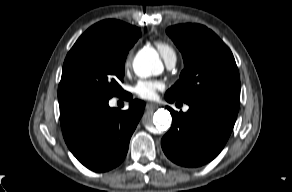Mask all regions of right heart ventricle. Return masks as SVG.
<instances>
[{"label":"right heart ventricle","instance_id":"e07e8e85","mask_svg":"<svg viewBox=\"0 0 292 192\" xmlns=\"http://www.w3.org/2000/svg\"><path fill=\"white\" fill-rule=\"evenodd\" d=\"M156 47H157L159 53L161 54V56L163 57V59L165 60V62H167L168 60H170L173 57H176L175 50L167 42L158 41V42H156Z\"/></svg>","mask_w":292,"mask_h":192}]
</instances>
